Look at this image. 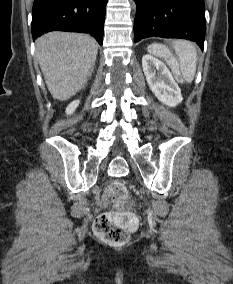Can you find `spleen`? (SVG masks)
Masks as SVG:
<instances>
[{
  "instance_id": "1",
  "label": "spleen",
  "mask_w": 233,
  "mask_h": 284,
  "mask_svg": "<svg viewBox=\"0 0 233 284\" xmlns=\"http://www.w3.org/2000/svg\"><path fill=\"white\" fill-rule=\"evenodd\" d=\"M173 48L178 56L179 65L175 64L173 59L168 60L175 75L179 71L184 80L191 83L194 79L197 66V52L194 45L188 41L176 40L173 42ZM148 51L156 56L167 58L171 57L170 50L162 44L153 43L148 47Z\"/></svg>"
}]
</instances>
